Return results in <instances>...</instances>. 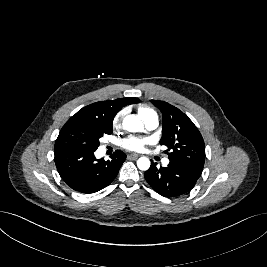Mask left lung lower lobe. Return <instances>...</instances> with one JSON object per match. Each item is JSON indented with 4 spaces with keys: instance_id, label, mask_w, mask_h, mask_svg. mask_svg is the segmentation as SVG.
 <instances>
[{
    "instance_id": "left-lung-lower-lobe-1",
    "label": "left lung lower lobe",
    "mask_w": 267,
    "mask_h": 267,
    "mask_svg": "<svg viewBox=\"0 0 267 267\" xmlns=\"http://www.w3.org/2000/svg\"><path fill=\"white\" fill-rule=\"evenodd\" d=\"M202 170L176 161H170L167 167L158 168L157 163L151 161L144 177L157 193L171 198L188 193L201 176Z\"/></svg>"
}]
</instances>
